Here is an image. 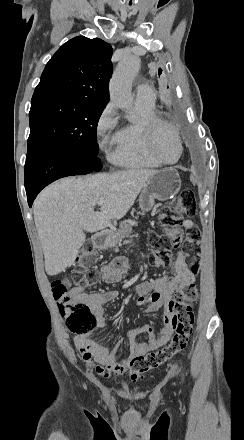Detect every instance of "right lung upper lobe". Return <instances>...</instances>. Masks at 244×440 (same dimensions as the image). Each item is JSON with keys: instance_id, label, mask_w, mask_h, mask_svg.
I'll return each mask as SVG.
<instances>
[{"instance_id": "1", "label": "right lung upper lobe", "mask_w": 244, "mask_h": 440, "mask_svg": "<svg viewBox=\"0 0 244 440\" xmlns=\"http://www.w3.org/2000/svg\"><path fill=\"white\" fill-rule=\"evenodd\" d=\"M112 47L84 36L63 44L47 63L32 101L89 100L106 105Z\"/></svg>"}]
</instances>
